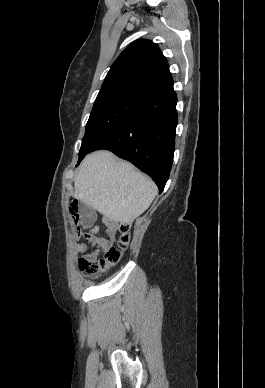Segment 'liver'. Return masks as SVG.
I'll use <instances>...</instances> for the list:
<instances>
[{"instance_id": "obj_1", "label": "liver", "mask_w": 265, "mask_h": 388, "mask_svg": "<svg viewBox=\"0 0 265 388\" xmlns=\"http://www.w3.org/2000/svg\"><path fill=\"white\" fill-rule=\"evenodd\" d=\"M74 188L73 198L122 226L146 212L158 192L151 178L106 150L84 158Z\"/></svg>"}]
</instances>
